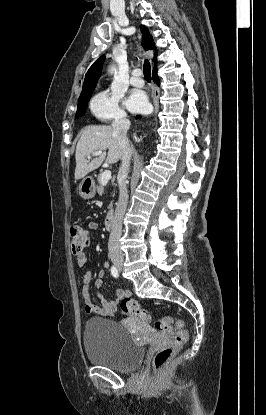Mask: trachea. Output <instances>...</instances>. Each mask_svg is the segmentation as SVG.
I'll return each instance as SVG.
<instances>
[{"label": "trachea", "mask_w": 266, "mask_h": 415, "mask_svg": "<svg viewBox=\"0 0 266 415\" xmlns=\"http://www.w3.org/2000/svg\"><path fill=\"white\" fill-rule=\"evenodd\" d=\"M143 71H144L145 79L151 80V66H150L149 61L147 60L144 62Z\"/></svg>", "instance_id": "obj_1"}]
</instances>
